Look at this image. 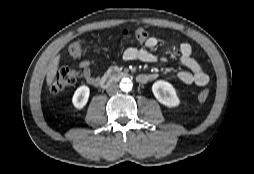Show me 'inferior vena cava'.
<instances>
[{"mask_svg":"<svg viewBox=\"0 0 254 174\" xmlns=\"http://www.w3.org/2000/svg\"><path fill=\"white\" fill-rule=\"evenodd\" d=\"M118 90H119V85H118L117 83H111V84L107 87V89H106V91H107L108 94H115V93L118 92Z\"/></svg>","mask_w":254,"mask_h":174,"instance_id":"inferior-vena-cava-1","label":"inferior vena cava"}]
</instances>
